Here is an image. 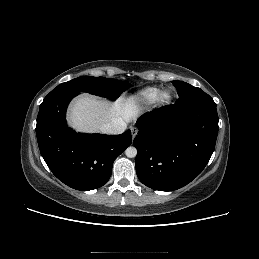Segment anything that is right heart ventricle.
<instances>
[{
  "instance_id": "1",
  "label": "right heart ventricle",
  "mask_w": 259,
  "mask_h": 259,
  "mask_svg": "<svg viewBox=\"0 0 259 259\" xmlns=\"http://www.w3.org/2000/svg\"><path fill=\"white\" fill-rule=\"evenodd\" d=\"M159 92L160 90L157 87H147L137 92L132 100L138 105L147 106L156 101Z\"/></svg>"
}]
</instances>
